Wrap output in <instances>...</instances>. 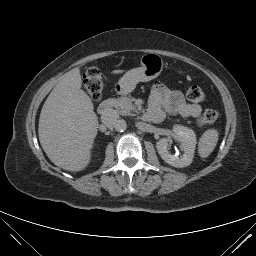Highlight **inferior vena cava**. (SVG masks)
I'll use <instances>...</instances> for the list:
<instances>
[{
  "instance_id": "602c4592",
  "label": "inferior vena cava",
  "mask_w": 256,
  "mask_h": 256,
  "mask_svg": "<svg viewBox=\"0 0 256 256\" xmlns=\"http://www.w3.org/2000/svg\"><path fill=\"white\" fill-rule=\"evenodd\" d=\"M101 121L108 128L115 127L119 121V114L114 109H108L101 115Z\"/></svg>"
}]
</instances>
